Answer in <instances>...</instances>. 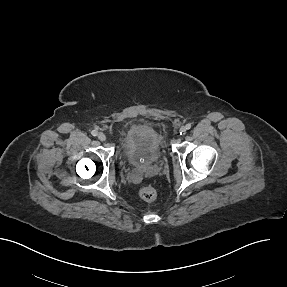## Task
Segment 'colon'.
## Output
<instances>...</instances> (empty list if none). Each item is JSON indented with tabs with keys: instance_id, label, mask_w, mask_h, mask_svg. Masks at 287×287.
Listing matches in <instances>:
<instances>
[{
	"instance_id": "5ec220e1",
	"label": "colon",
	"mask_w": 287,
	"mask_h": 287,
	"mask_svg": "<svg viewBox=\"0 0 287 287\" xmlns=\"http://www.w3.org/2000/svg\"><path fill=\"white\" fill-rule=\"evenodd\" d=\"M139 196L147 202H152L157 198L156 190L151 186H142L139 189Z\"/></svg>"
}]
</instances>
